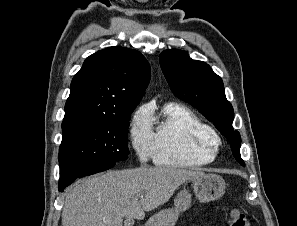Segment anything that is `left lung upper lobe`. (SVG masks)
<instances>
[{
	"mask_svg": "<svg viewBox=\"0 0 297 226\" xmlns=\"http://www.w3.org/2000/svg\"><path fill=\"white\" fill-rule=\"evenodd\" d=\"M160 65L168 84L181 100L197 108L231 142L232 153L241 165L240 134L234 131V111L225 97L222 79L210 66L193 60L185 51L176 49L161 53Z\"/></svg>",
	"mask_w": 297,
	"mask_h": 226,
	"instance_id": "5c2ea615",
	"label": "left lung upper lobe"
}]
</instances>
